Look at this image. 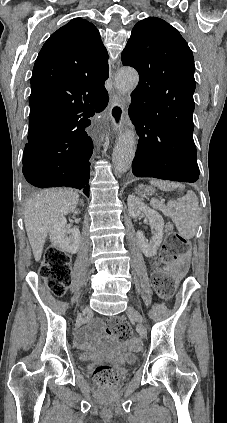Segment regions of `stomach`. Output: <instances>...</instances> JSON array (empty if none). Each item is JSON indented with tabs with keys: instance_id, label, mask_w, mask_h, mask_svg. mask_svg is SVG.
<instances>
[{
	"instance_id": "obj_1",
	"label": "stomach",
	"mask_w": 227,
	"mask_h": 423,
	"mask_svg": "<svg viewBox=\"0 0 227 423\" xmlns=\"http://www.w3.org/2000/svg\"><path fill=\"white\" fill-rule=\"evenodd\" d=\"M153 192H154L153 188H144L142 194H146V196H151Z\"/></svg>"
}]
</instances>
